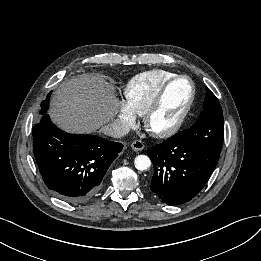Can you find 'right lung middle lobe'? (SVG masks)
<instances>
[{"mask_svg":"<svg viewBox=\"0 0 261 261\" xmlns=\"http://www.w3.org/2000/svg\"><path fill=\"white\" fill-rule=\"evenodd\" d=\"M50 94H51V92L47 95L46 100L41 103V108H42V110L40 111V113H41L42 115L46 114V111H47V109H48Z\"/></svg>","mask_w":261,"mask_h":261,"instance_id":"right-lung-middle-lobe-1","label":"right lung middle lobe"}]
</instances>
